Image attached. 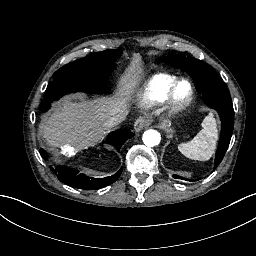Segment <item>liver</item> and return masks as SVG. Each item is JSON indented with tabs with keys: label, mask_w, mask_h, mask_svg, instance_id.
I'll use <instances>...</instances> for the list:
<instances>
[{
	"label": "liver",
	"mask_w": 256,
	"mask_h": 256,
	"mask_svg": "<svg viewBox=\"0 0 256 256\" xmlns=\"http://www.w3.org/2000/svg\"><path fill=\"white\" fill-rule=\"evenodd\" d=\"M142 75L141 55L134 53L130 65L119 79L114 96L93 100H86L81 95L63 98L40 125L41 134L55 147L84 149L94 146L109 129L106 126L107 120L127 111L128 101Z\"/></svg>",
	"instance_id": "liver-1"
}]
</instances>
